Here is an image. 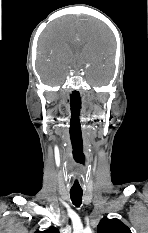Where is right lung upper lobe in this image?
<instances>
[{"mask_svg": "<svg viewBox=\"0 0 148 233\" xmlns=\"http://www.w3.org/2000/svg\"><path fill=\"white\" fill-rule=\"evenodd\" d=\"M35 233H59V230L57 228L51 226L44 231H36Z\"/></svg>", "mask_w": 148, "mask_h": 233, "instance_id": "cb5924a9", "label": "right lung upper lobe"}]
</instances>
